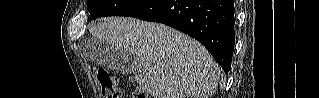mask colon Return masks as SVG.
<instances>
[{"label":"colon","instance_id":"1","mask_svg":"<svg viewBox=\"0 0 319 98\" xmlns=\"http://www.w3.org/2000/svg\"><path fill=\"white\" fill-rule=\"evenodd\" d=\"M94 75L99 82L104 98H122L118 78L116 76L111 75L101 67L94 68ZM132 98H147V91L143 88H136Z\"/></svg>","mask_w":319,"mask_h":98}]
</instances>
